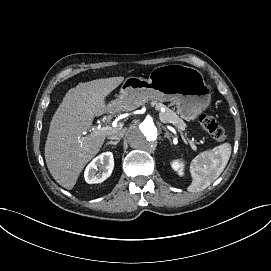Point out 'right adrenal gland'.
<instances>
[{
    "label": "right adrenal gland",
    "mask_w": 271,
    "mask_h": 271,
    "mask_svg": "<svg viewBox=\"0 0 271 271\" xmlns=\"http://www.w3.org/2000/svg\"><path fill=\"white\" fill-rule=\"evenodd\" d=\"M119 141H109L106 145H116Z\"/></svg>",
    "instance_id": "obj_1"
}]
</instances>
